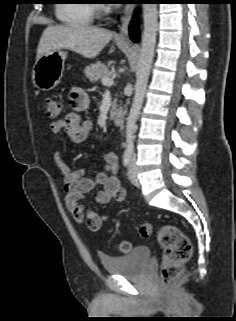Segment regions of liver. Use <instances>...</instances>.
<instances>
[{
    "label": "liver",
    "mask_w": 236,
    "mask_h": 321,
    "mask_svg": "<svg viewBox=\"0 0 236 321\" xmlns=\"http://www.w3.org/2000/svg\"><path fill=\"white\" fill-rule=\"evenodd\" d=\"M107 29L89 26H48L39 41L36 61L49 51L69 49L85 58H94L111 40Z\"/></svg>",
    "instance_id": "obj_1"
}]
</instances>
